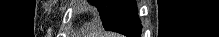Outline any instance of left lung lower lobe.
I'll use <instances>...</instances> for the list:
<instances>
[{"mask_svg": "<svg viewBox=\"0 0 219 37\" xmlns=\"http://www.w3.org/2000/svg\"><path fill=\"white\" fill-rule=\"evenodd\" d=\"M140 23L135 1L124 0L106 30L118 32L127 37H140L142 30Z\"/></svg>", "mask_w": 219, "mask_h": 37, "instance_id": "obj_1", "label": "left lung lower lobe"}]
</instances>
